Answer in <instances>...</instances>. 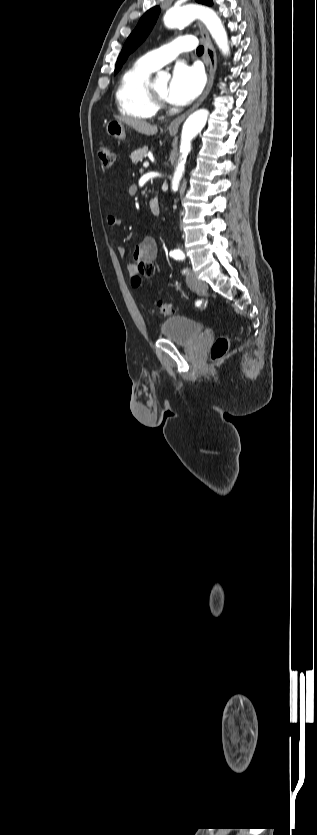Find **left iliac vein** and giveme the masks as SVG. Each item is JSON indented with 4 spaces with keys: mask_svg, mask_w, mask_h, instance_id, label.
Here are the masks:
<instances>
[{
    "mask_svg": "<svg viewBox=\"0 0 317 835\" xmlns=\"http://www.w3.org/2000/svg\"><path fill=\"white\" fill-rule=\"evenodd\" d=\"M186 283L189 288L196 293H204L208 289L207 284L204 281L199 280L197 276L192 273L186 277Z\"/></svg>",
    "mask_w": 317,
    "mask_h": 835,
    "instance_id": "4c4485c4",
    "label": "left iliac vein"
}]
</instances>
